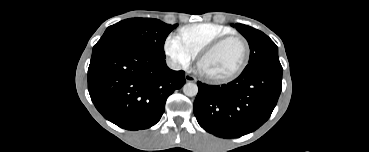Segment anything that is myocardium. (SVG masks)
Here are the masks:
<instances>
[{
  "label": "myocardium",
  "mask_w": 369,
  "mask_h": 152,
  "mask_svg": "<svg viewBox=\"0 0 369 152\" xmlns=\"http://www.w3.org/2000/svg\"><path fill=\"white\" fill-rule=\"evenodd\" d=\"M234 39L240 40L244 46L245 52H244V58H243L241 65L234 72L226 76H212V75L205 73L201 69V64L204 61V59L207 58L212 53H214L216 50H218L226 42L230 40H234ZM249 60H250V46H249L248 41L243 36L233 33V34L222 36L216 39L215 41H213L212 43H210L209 45H207L199 54L198 68L202 76L209 82H212L215 84H223V83L230 82L236 79L237 77H239L243 73L245 68L247 67Z\"/></svg>",
  "instance_id": "1"
}]
</instances>
